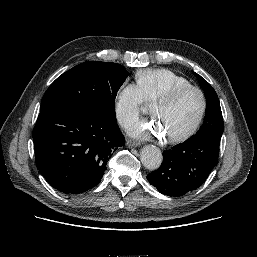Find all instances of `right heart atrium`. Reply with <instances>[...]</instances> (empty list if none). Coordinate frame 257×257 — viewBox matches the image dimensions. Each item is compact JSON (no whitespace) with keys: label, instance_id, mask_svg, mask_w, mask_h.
Masks as SVG:
<instances>
[{"label":"right heart atrium","instance_id":"obj_1","mask_svg":"<svg viewBox=\"0 0 257 257\" xmlns=\"http://www.w3.org/2000/svg\"><path fill=\"white\" fill-rule=\"evenodd\" d=\"M145 99L139 87L134 83L121 86L115 98V114L123 127L134 124L142 111Z\"/></svg>","mask_w":257,"mask_h":257}]
</instances>
